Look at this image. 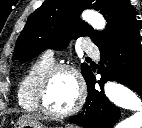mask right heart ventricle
Listing matches in <instances>:
<instances>
[{
  "label": "right heart ventricle",
  "mask_w": 142,
  "mask_h": 128,
  "mask_svg": "<svg viewBox=\"0 0 142 128\" xmlns=\"http://www.w3.org/2000/svg\"><path fill=\"white\" fill-rule=\"evenodd\" d=\"M53 63V60L42 56L27 68L17 88V98L20 107L27 111L39 110L36 101L37 85L43 73L51 67Z\"/></svg>",
  "instance_id": "1"
}]
</instances>
